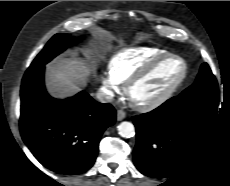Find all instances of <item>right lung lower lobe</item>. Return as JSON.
I'll return each instance as SVG.
<instances>
[{"label":"right lung lower lobe","instance_id":"1","mask_svg":"<svg viewBox=\"0 0 230 186\" xmlns=\"http://www.w3.org/2000/svg\"><path fill=\"white\" fill-rule=\"evenodd\" d=\"M45 66L28 69L21 85L20 132L35 158L46 168L67 175L87 171L95 162L104 130L116 111L82 91L58 100L44 86Z\"/></svg>","mask_w":230,"mask_h":186}]
</instances>
